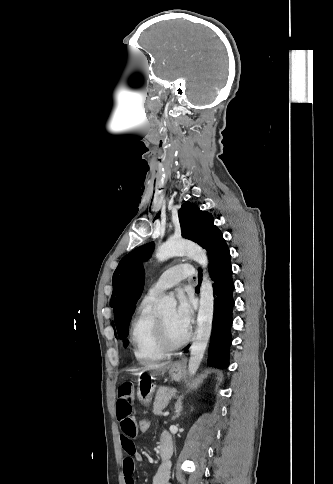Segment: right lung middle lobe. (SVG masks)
<instances>
[{
  "label": "right lung middle lobe",
  "mask_w": 333,
  "mask_h": 484,
  "mask_svg": "<svg viewBox=\"0 0 333 484\" xmlns=\"http://www.w3.org/2000/svg\"><path fill=\"white\" fill-rule=\"evenodd\" d=\"M129 322H130V320H128V321H127V322L124 324V326H123V328H122V330H121V332H120V334H119V337H120L121 339H125V338L127 337V335H128V326H129ZM123 344H124V347H127V346H128V344H129V342H128L127 340H125Z\"/></svg>",
  "instance_id": "1"
}]
</instances>
